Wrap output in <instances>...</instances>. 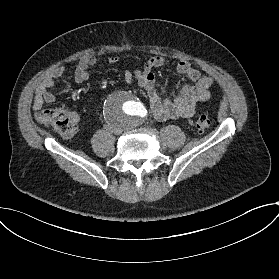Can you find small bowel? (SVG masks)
Segmentation results:
<instances>
[{
    "label": "small bowel",
    "mask_w": 279,
    "mask_h": 279,
    "mask_svg": "<svg viewBox=\"0 0 279 279\" xmlns=\"http://www.w3.org/2000/svg\"><path fill=\"white\" fill-rule=\"evenodd\" d=\"M111 65H118L120 59L116 55L108 58ZM165 58L162 56L150 57L143 70L124 69L123 79L126 83H137L147 92L150 109L156 120L165 121L175 118H188L195 112L197 103L210 99L209 87L212 84V78L202 75L201 71L193 66L187 60H180L176 64V72L185 76L188 83L173 91L169 98L162 99L155 89V75L153 70L162 67ZM97 64V59L93 55H86L79 59L75 65L74 81L76 84H82L88 78V68ZM66 71L64 66L53 68L38 83L33 98L32 108L39 111L45 104H51L55 101V96L50 89L56 81L61 78ZM71 118L75 124L80 121V115L77 112H71Z\"/></svg>",
    "instance_id": "small-bowel-1"
}]
</instances>
